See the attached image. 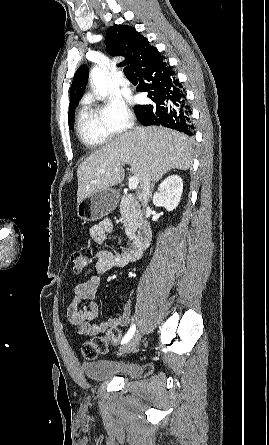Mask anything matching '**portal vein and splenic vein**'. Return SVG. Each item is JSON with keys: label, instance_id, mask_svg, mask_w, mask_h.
I'll return each mask as SVG.
<instances>
[{"label": "portal vein and splenic vein", "instance_id": "1", "mask_svg": "<svg viewBox=\"0 0 269 445\" xmlns=\"http://www.w3.org/2000/svg\"><path fill=\"white\" fill-rule=\"evenodd\" d=\"M138 183H139L138 177L137 176H132L129 179V184H128L130 190H135L137 188V186H138Z\"/></svg>", "mask_w": 269, "mask_h": 445}]
</instances>
